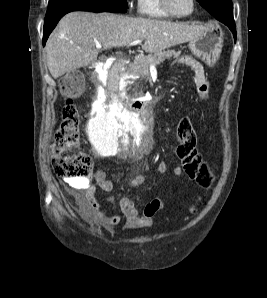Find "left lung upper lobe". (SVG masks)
<instances>
[{"instance_id":"1","label":"left lung upper lobe","mask_w":267,"mask_h":298,"mask_svg":"<svg viewBox=\"0 0 267 298\" xmlns=\"http://www.w3.org/2000/svg\"><path fill=\"white\" fill-rule=\"evenodd\" d=\"M216 19L222 20L233 16L231 0H197Z\"/></svg>"}]
</instances>
